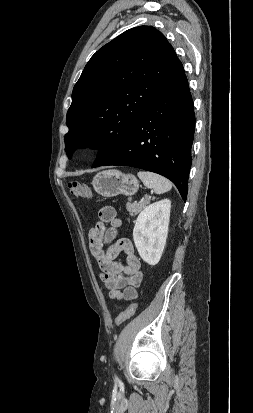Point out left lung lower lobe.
Listing matches in <instances>:
<instances>
[{"instance_id":"0a47b994","label":"left lung lower lobe","mask_w":253,"mask_h":413,"mask_svg":"<svg viewBox=\"0 0 253 413\" xmlns=\"http://www.w3.org/2000/svg\"><path fill=\"white\" fill-rule=\"evenodd\" d=\"M194 129L193 100L178 60L125 143L101 166H131L158 173L170 179L186 200Z\"/></svg>"}]
</instances>
